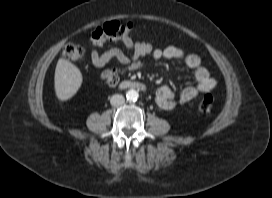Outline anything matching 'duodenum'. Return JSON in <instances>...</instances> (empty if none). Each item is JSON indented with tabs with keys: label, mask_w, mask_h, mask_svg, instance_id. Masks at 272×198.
Wrapping results in <instances>:
<instances>
[{
	"label": "duodenum",
	"mask_w": 272,
	"mask_h": 198,
	"mask_svg": "<svg viewBox=\"0 0 272 198\" xmlns=\"http://www.w3.org/2000/svg\"><path fill=\"white\" fill-rule=\"evenodd\" d=\"M121 88H133L138 90H145V86L143 83L135 82V81H124L119 85Z\"/></svg>",
	"instance_id": "obj_1"
}]
</instances>
